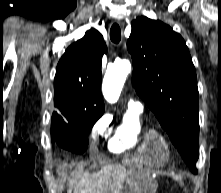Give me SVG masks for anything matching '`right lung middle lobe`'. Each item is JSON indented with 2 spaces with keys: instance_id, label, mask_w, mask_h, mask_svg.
Returning a JSON list of instances; mask_svg holds the SVG:
<instances>
[{
  "instance_id": "1",
  "label": "right lung middle lobe",
  "mask_w": 221,
  "mask_h": 193,
  "mask_svg": "<svg viewBox=\"0 0 221 193\" xmlns=\"http://www.w3.org/2000/svg\"><path fill=\"white\" fill-rule=\"evenodd\" d=\"M102 115L92 114L70 119L53 118L51 122L52 140L64 149L83 153L88 146V133Z\"/></svg>"
}]
</instances>
